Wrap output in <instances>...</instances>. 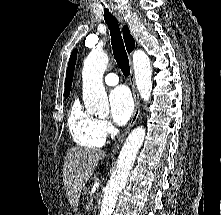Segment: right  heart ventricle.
I'll use <instances>...</instances> for the list:
<instances>
[{"mask_svg": "<svg viewBox=\"0 0 221 215\" xmlns=\"http://www.w3.org/2000/svg\"><path fill=\"white\" fill-rule=\"evenodd\" d=\"M68 128L72 139L79 146L94 148L104 142V138L97 132V119L83 109L78 99L70 107Z\"/></svg>", "mask_w": 221, "mask_h": 215, "instance_id": "1", "label": "right heart ventricle"}]
</instances>
